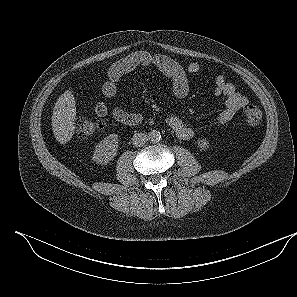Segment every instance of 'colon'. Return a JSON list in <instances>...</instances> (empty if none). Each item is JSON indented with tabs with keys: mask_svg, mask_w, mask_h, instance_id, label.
<instances>
[{
	"mask_svg": "<svg viewBox=\"0 0 297 297\" xmlns=\"http://www.w3.org/2000/svg\"><path fill=\"white\" fill-rule=\"evenodd\" d=\"M243 122L248 127H256L262 120L263 112L257 105H247L244 107ZM102 126L100 121L88 120L80 118L75 123L76 133L79 137H87L98 131Z\"/></svg>",
	"mask_w": 297,
	"mask_h": 297,
	"instance_id": "obj_1",
	"label": "colon"
}]
</instances>
